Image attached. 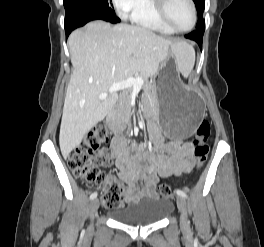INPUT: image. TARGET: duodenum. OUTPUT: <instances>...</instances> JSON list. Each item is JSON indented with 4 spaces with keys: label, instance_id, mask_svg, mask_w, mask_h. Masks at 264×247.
Here are the masks:
<instances>
[{
    "label": "duodenum",
    "instance_id": "1",
    "mask_svg": "<svg viewBox=\"0 0 264 247\" xmlns=\"http://www.w3.org/2000/svg\"><path fill=\"white\" fill-rule=\"evenodd\" d=\"M105 123L110 131L115 134H119L124 129V125L116 121L111 112L106 114Z\"/></svg>",
    "mask_w": 264,
    "mask_h": 247
}]
</instances>
